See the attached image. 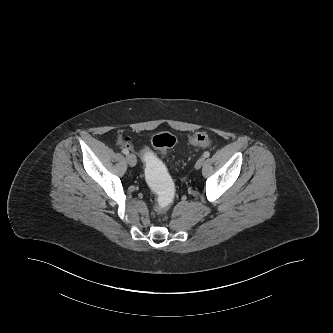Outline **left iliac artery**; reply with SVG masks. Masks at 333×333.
I'll return each mask as SVG.
<instances>
[{
	"mask_svg": "<svg viewBox=\"0 0 333 333\" xmlns=\"http://www.w3.org/2000/svg\"><path fill=\"white\" fill-rule=\"evenodd\" d=\"M203 156H204L205 158H208V157L210 156V153H209L208 151H206V152H204Z\"/></svg>",
	"mask_w": 333,
	"mask_h": 333,
	"instance_id": "44dca946",
	"label": "left iliac artery"
}]
</instances>
